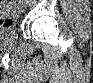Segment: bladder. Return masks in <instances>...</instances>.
Instances as JSON below:
<instances>
[{"mask_svg":"<svg viewBox=\"0 0 93 83\" xmlns=\"http://www.w3.org/2000/svg\"><path fill=\"white\" fill-rule=\"evenodd\" d=\"M13 34H14V31L12 29H8V28L3 27L1 30L0 40L5 41L8 38L12 37Z\"/></svg>","mask_w":93,"mask_h":83,"instance_id":"1","label":"bladder"}]
</instances>
